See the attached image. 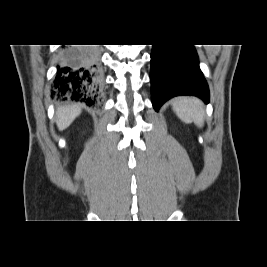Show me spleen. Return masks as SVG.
Wrapping results in <instances>:
<instances>
[{"instance_id":"3e777b00","label":"spleen","mask_w":267,"mask_h":267,"mask_svg":"<svg viewBox=\"0 0 267 267\" xmlns=\"http://www.w3.org/2000/svg\"><path fill=\"white\" fill-rule=\"evenodd\" d=\"M173 110L185 123L194 122L198 127L204 124V108L197 98L180 97L173 101Z\"/></svg>"}]
</instances>
